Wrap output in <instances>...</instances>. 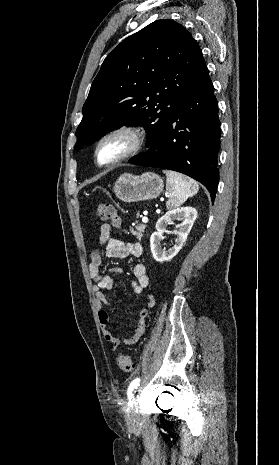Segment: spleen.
Returning a JSON list of instances; mask_svg holds the SVG:
<instances>
[{"label":"spleen","mask_w":279,"mask_h":465,"mask_svg":"<svg viewBox=\"0 0 279 465\" xmlns=\"http://www.w3.org/2000/svg\"><path fill=\"white\" fill-rule=\"evenodd\" d=\"M164 173L167 178L166 189L169 196L167 208L178 207L198 192L199 186L193 179L174 171H164Z\"/></svg>","instance_id":"obj_1"}]
</instances>
